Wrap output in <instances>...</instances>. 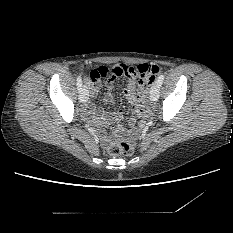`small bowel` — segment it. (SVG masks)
<instances>
[{"label":"small bowel","mask_w":233,"mask_h":233,"mask_svg":"<svg viewBox=\"0 0 233 233\" xmlns=\"http://www.w3.org/2000/svg\"><path fill=\"white\" fill-rule=\"evenodd\" d=\"M106 67L111 70L112 74L111 77L106 81L107 92L105 94L104 101L107 106H112L114 104V99L112 97L111 91L113 87L116 85V81L122 76H124V73L121 64H113ZM136 83L137 81L135 77H129L127 86L124 89V95L126 96L127 100L133 107L132 115L128 121L129 126L131 128L126 130L122 127H116L110 135L104 134L102 136V141L104 143H111L118 139H126L130 141H134L139 135L141 131V126L139 124H136V118L141 115L142 107H146L147 104L146 105L140 104L138 96L135 94ZM148 85H149L148 83H142L140 82V80H138L139 93L147 94ZM88 86L90 90V97L95 98L100 89V81L98 82L89 81ZM84 114L87 118H90L96 123H98L100 127H103L104 125L118 119L122 113L121 111L108 113L102 109L97 108L95 104L90 103L86 107Z\"/></svg>","instance_id":"small-bowel-1"}]
</instances>
